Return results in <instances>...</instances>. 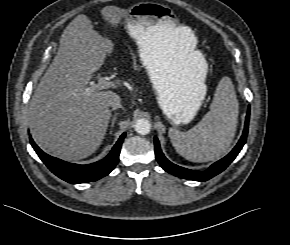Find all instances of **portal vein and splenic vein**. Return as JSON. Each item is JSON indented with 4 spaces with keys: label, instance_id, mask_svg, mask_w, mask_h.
I'll use <instances>...</instances> for the list:
<instances>
[{
    "label": "portal vein and splenic vein",
    "instance_id": "18ae733b",
    "mask_svg": "<svg viewBox=\"0 0 290 245\" xmlns=\"http://www.w3.org/2000/svg\"><path fill=\"white\" fill-rule=\"evenodd\" d=\"M113 84L109 81H107L106 78H100L98 80V84H94L92 83L89 87L90 91H94V90H103V89H108L110 87H112Z\"/></svg>",
    "mask_w": 290,
    "mask_h": 245
}]
</instances>
